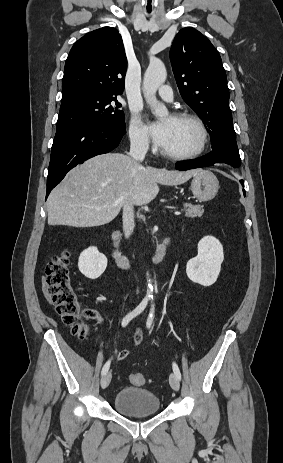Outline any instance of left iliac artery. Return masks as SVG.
Returning a JSON list of instances; mask_svg holds the SVG:
<instances>
[{
  "label": "left iliac artery",
  "instance_id": "obj_1",
  "mask_svg": "<svg viewBox=\"0 0 283 463\" xmlns=\"http://www.w3.org/2000/svg\"><path fill=\"white\" fill-rule=\"evenodd\" d=\"M153 319H154V305H152V307L150 309V312H149V315H148V318H147V322H146L147 328L151 327ZM173 371H174L175 375L178 377V379L180 380L181 379V373H180V370H179V368H178V366H177V364L175 362H173Z\"/></svg>",
  "mask_w": 283,
  "mask_h": 463
}]
</instances>
